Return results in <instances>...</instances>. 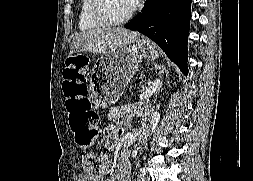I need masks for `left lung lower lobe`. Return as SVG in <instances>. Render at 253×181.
Returning <instances> with one entry per match:
<instances>
[{"instance_id": "0a47b994", "label": "left lung lower lobe", "mask_w": 253, "mask_h": 181, "mask_svg": "<svg viewBox=\"0 0 253 181\" xmlns=\"http://www.w3.org/2000/svg\"><path fill=\"white\" fill-rule=\"evenodd\" d=\"M191 1L146 0L142 11L125 25L156 42L186 75Z\"/></svg>"}]
</instances>
